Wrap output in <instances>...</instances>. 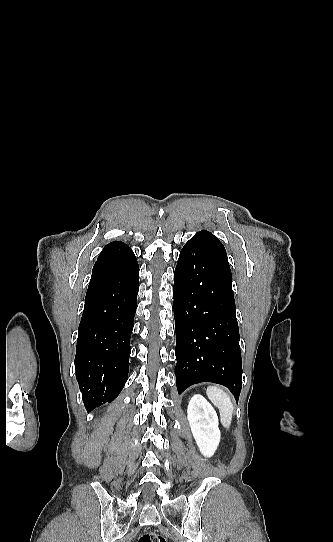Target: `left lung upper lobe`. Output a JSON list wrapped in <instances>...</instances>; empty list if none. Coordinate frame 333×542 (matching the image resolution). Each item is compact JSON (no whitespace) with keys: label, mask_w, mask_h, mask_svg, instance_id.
I'll use <instances>...</instances> for the list:
<instances>
[{"label":"left lung upper lobe","mask_w":333,"mask_h":542,"mask_svg":"<svg viewBox=\"0 0 333 542\" xmlns=\"http://www.w3.org/2000/svg\"><path fill=\"white\" fill-rule=\"evenodd\" d=\"M191 239H198L200 241L205 242L208 245H211L215 249L221 250L222 252L226 253L225 248L222 245V243L215 236H213L210 232L206 230H202L201 232H198Z\"/></svg>","instance_id":"5c2ea615"}]
</instances>
